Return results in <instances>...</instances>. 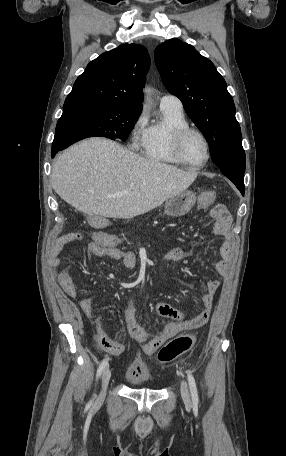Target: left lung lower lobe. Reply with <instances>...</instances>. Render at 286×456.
I'll list each match as a JSON object with an SVG mask.
<instances>
[{"mask_svg":"<svg viewBox=\"0 0 286 456\" xmlns=\"http://www.w3.org/2000/svg\"><path fill=\"white\" fill-rule=\"evenodd\" d=\"M244 171L240 169L234 168H225L222 169L221 172L228 177L238 188V190L244 196L245 186H244Z\"/></svg>","mask_w":286,"mask_h":456,"instance_id":"left-lung-lower-lobe-1","label":"left lung lower lobe"}]
</instances>
